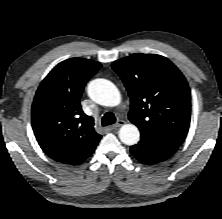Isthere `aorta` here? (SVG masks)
<instances>
[{"mask_svg":"<svg viewBox=\"0 0 222 219\" xmlns=\"http://www.w3.org/2000/svg\"><path fill=\"white\" fill-rule=\"evenodd\" d=\"M89 97L104 106H117L121 102V95L117 87L107 79H95L87 87ZM119 138L126 145L137 144L140 132L133 124H125L119 130Z\"/></svg>","mask_w":222,"mask_h":219,"instance_id":"1","label":"aorta"}]
</instances>
